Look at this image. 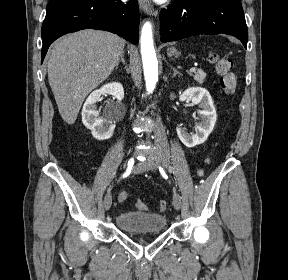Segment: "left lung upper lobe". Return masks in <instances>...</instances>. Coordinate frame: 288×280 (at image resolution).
Listing matches in <instances>:
<instances>
[{
  "label": "left lung upper lobe",
  "instance_id": "obj_1",
  "mask_svg": "<svg viewBox=\"0 0 288 280\" xmlns=\"http://www.w3.org/2000/svg\"><path fill=\"white\" fill-rule=\"evenodd\" d=\"M222 1L231 3L235 5L236 7H238L239 9L243 10L240 0H222Z\"/></svg>",
  "mask_w": 288,
  "mask_h": 280
}]
</instances>
